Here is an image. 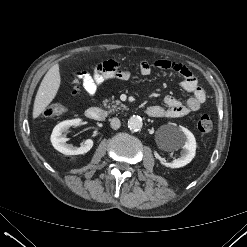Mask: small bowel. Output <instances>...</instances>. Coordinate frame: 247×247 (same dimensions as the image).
Instances as JSON below:
<instances>
[{"instance_id": "small-bowel-1", "label": "small bowel", "mask_w": 247, "mask_h": 247, "mask_svg": "<svg viewBox=\"0 0 247 247\" xmlns=\"http://www.w3.org/2000/svg\"><path fill=\"white\" fill-rule=\"evenodd\" d=\"M154 66L161 70H171L179 74L182 77L181 87L192 95L185 104L176 97L166 96L164 98V106L153 105L149 107V116L154 118H178L200 109L206 100V92L199 85L197 78L188 67L182 63L167 59L157 60ZM139 72L143 76L150 75L152 65L148 61H142L139 65ZM130 76L131 73L128 70L122 69L120 64L114 60L99 63L92 68V71L84 70L78 73L84 90L90 97L96 95L98 88L103 83L114 78L127 80Z\"/></svg>"}]
</instances>
